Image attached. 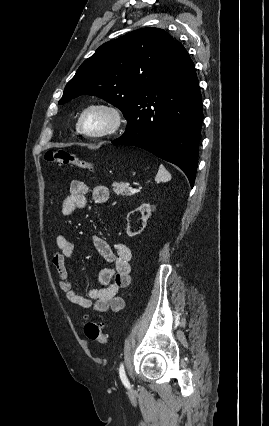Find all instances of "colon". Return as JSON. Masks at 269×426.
Listing matches in <instances>:
<instances>
[{
  "label": "colon",
  "instance_id": "obj_1",
  "mask_svg": "<svg viewBox=\"0 0 269 426\" xmlns=\"http://www.w3.org/2000/svg\"><path fill=\"white\" fill-rule=\"evenodd\" d=\"M45 159L50 163L64 166H76L80 169L88 170L93 167L91 162L80 159L77 155L65 149L49 150L45 154ZM84 332L90 340L99 344L107 345L109 342L108 336L102 326L93 320L86 321Z\"/></svg>",
  "mask_w": 269,
  "mask_h": 426
}]
</instances>
